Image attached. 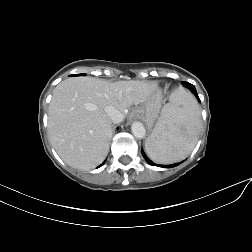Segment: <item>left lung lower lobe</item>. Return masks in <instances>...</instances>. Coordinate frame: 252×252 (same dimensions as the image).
<instances>
[{
    "instance_id": "1",
    "label": "left lung lower lobe",
    "mask_w": 252,
    "mask_h": 252,
    "mask_svg": "<svg viewBox=\"0 0 252 252\" xmlns=\"http://www.w3.org/2000/svg\"><path fill=\"white\" fill-rule=\"evenodd\" d=\"M183 84H184L187 88H189V89L195 94V96L199 99V97H198V95H197V91H196L194 85H192V84H190V83H188V82H183ZM141 153H142L143 157L145 158V160H146L149 164L154 165V166L163 167V168H172V167H175V166H177V165L180 164V163H176V164H171V165H157V164L153 163L149 158H147V156L145 155V153H144V151H143L142 149H141Z\"/></svg>"
}]
</instances>
